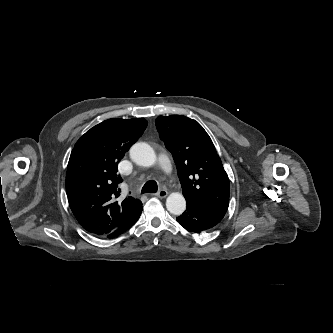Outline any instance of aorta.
<instances>
[{
	"mask_svg": "<svg viewBox=\"0 0 333 333\" xmlns=\"http://www.w3.org/2000/svg\"><path fill=\"white\" fill-rule=\"evenodd\" d=\"M129 153L132 161L140 166L151 167L157 160L153 148L144 142L134 144ZM166 208L174 215L182 214L186 208L184 196L178 192L171 193L166 199Z\"/></svg>",
	"mask_w": 333,
	"mask_h": 333,
	"instance_id": "1",
	"label": "aorta"
}]
</instances>
